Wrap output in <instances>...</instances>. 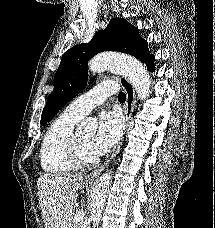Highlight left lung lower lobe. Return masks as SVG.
<instances>
[{
    "label": "left lung lower lobe",
    "mask_w": 215,
    "mask_h": 228,
    "mask_svg": "<svg viewBox=\"0 0 215 228\" xmlns=\"http://www.w3.org/2000/svg\"><path fill=\"white\" fill-rule=\"evenodd\" d=\"M153 62H154L153 55H151L150 58L145 62L149 71H154Z\"/></svg>",
    "instance_id": "obj_1"
}]
</instances>
